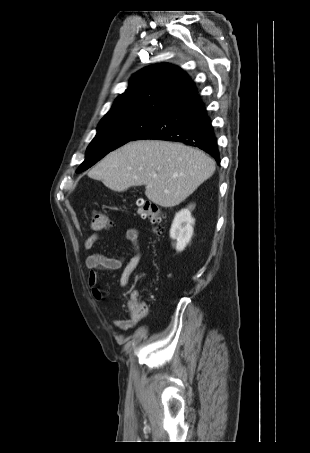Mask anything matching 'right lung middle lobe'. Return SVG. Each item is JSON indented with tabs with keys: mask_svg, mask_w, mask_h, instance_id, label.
I'll list each match as a JSON object with an SVG mask.
<instances>
[{
	"mask_svg": "<svg viewBox=\"0 0 310 453\" xmlns=\"http://www.w3.org/2000/svg\"><path fill=\"white\" fill-rule=\"evenodd\" d=\"M159 116L147 114H121L104 117L97 128V134L89 144L86 158L77 169L82 172L110 151L136 138Z\"/></svg>",
	"mask_w": 310,
	"mask_h": 453,
	"instance_id": "1",
	"label": "right lung middle lobe"
}]
</instances>
